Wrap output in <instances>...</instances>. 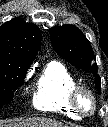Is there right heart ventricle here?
I'll list each match as a JSON object with an SVG mask.
<instances>
[{
  "mask_svg": "<svg viewBox=\"0 0 108 127\" xmlns=\"http://www.w3.org/2000/svg\"><path fill=\"white\" fill-rule=\"evenodd\" d=\"M76 86L75 78L65 65L57 61L50 62L36 82L33 105L43 112L77 116V111L71 104V93Z\"/></svg>",
  "mask_w": 108,
  "mask_h": 127,
  "instance_id": "right-heart-ventricle-1",
  "label": "right heart ventricle"
}]
</instances>
